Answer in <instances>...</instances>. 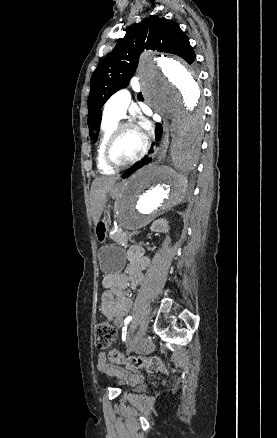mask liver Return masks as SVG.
Segmentation results:
<instances>
[{
	"instance_id": "6515ba94",
	"label": "liver",
	"mask_w": 277,
	"mask_h": 438,
	"mask_svg": "<svg viewBox=\"0 0 277 438\" xmlns=\"http://www.w3.org/2000/svg\"><path fill=\"white\" fill-rule=\"evenodd\" d=\"M118 178H110V176H103V178H97L92 182L91 186V208L92 218L94 224H97L101 218V214L106 204V194L113 188Z\"/></svg>"
}]
</instances>
